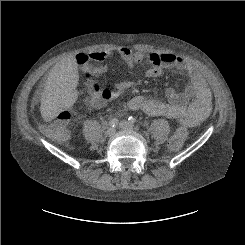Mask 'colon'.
<instances>
[{
	"mask_svg": "<svg viewBox=\"0 0 245 245\" xmlns=\"http://www.w3.org/2000/svg\"><path fill=\"white\" fill-rule=\"evenodd\" d=\"M77 62L79 64H82L83 66H86L88 64V56H84L83 54H77L75 56ZM92 87L96 92L102 91L101 86L96 83L92 82ZM106 94H109V90L105 89L103 90ZM70 113L66 110L61 111L57 118L53 120L51 123L45 126L44 132L53 140L60 142L68 138L69 133L66 129V126L70 120ZM189 135V131L184 123L180 124V126L172 133L168 140V148L171 151H179L184 143L186 142V139Z\"/></svg>",
	"mask_w": 245,
	"mask_h": 245,
	"instance_id": "1",
	"label": "colon"
}]
</instances>
